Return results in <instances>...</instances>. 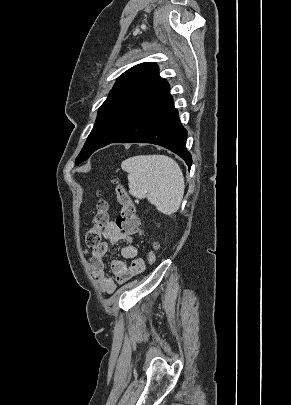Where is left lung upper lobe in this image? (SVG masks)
<instances>
[{"label":"left lung upper lobe","instance_id":"left-lung-upper-lobe-1","mask_svg":"<svg viewBox=\"0 0 291 405\" xmlns=\"http://www.w3.org/2000/svg\"><path fill=\"white\" fill-rule=\"evenodd\" d=\"M160 79L157 65L149 62L130 68L117 79L98 110L94 127L76 158V165L124 132L143 97Z\"/></svg>","mask_w":291,"mask_h":405}]
</instances>
